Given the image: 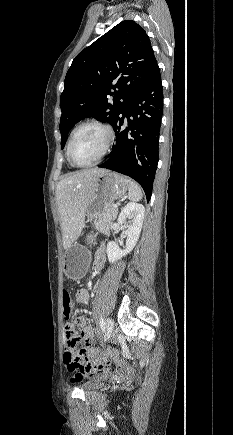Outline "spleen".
Masks as SVG:
<instances>
[{"label": "spleen", "instance_id": "obj_1", "mask_svg": "<svg viewBox=\"0 0 233 435\" xmlns=\"http://www.w3.org/2000/svg\"><path fill=\"white\" fill-rule=\"evenodd\" d=\"M142 191L141 188L138 186V184L134 181H129V188H128V198L132 201H139L142 199Z\"/></svg>", "mask_w": 233, "mask_h": 435}]
</instances>
